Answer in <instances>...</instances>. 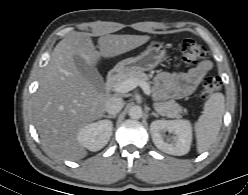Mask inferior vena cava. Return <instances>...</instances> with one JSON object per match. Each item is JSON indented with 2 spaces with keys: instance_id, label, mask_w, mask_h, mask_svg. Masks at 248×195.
I'll use <instances>...</instances> for the list:
<instances>
[{
  "instance_id": "obj_1",
  "label": "inferior vena cava",
  "mask_w": 248,
  "mask_h": 195,
  "mask_svg": "<svg viewBox=\"0 0 248 195\" xmlns=\"http://www.w3.org/2000/svg\"><path fill=\"white\" fill-rule=\"evenodd\" d=\"M124 106V101L118 97H111L105 103V110L108 114H118Z\"/></svg>"
}]
</instances>
